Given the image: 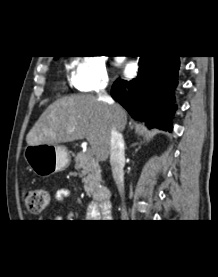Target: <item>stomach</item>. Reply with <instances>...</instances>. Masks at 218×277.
I'll use <instances>...</instances> for the list:
<instances>
[{
    "label": "stomach",
    "mask_w": 218,
    "mask_h": 277,
    "mask_svg": "<svg viewBox=\"0 0 218 277\" xmlns=\"http://www.w3.org/2000/svg\"><path fill=\"white\" fill-rule=\"evenodd\" d=\"M24 159L36 175L43 177L65 170L71 161L66 148L55 144L28 145Z\"/></svg>",
    "instance_id": "1"
}]
</instances>
